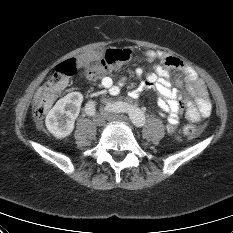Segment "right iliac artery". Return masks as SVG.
<instances>
[{
  "label": "right iliac artery",
  "instance_id": "82829eb1",
  "mask_svg": "<svg viewBox=\"0 0 233 233\" xmlns=\"http://www.w3.org/2000/svg\"><path fill=\"white\" fill-rule=\"evenodd\" d=\"M85 112L86 114L93 116L95 115V102L89 101L85 106Z\"/></svg>",
  "mask_w": 233,
  "mask_h": 233
}]
</instances>
